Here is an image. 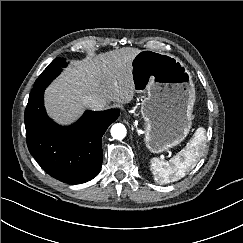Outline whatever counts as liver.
I'll list each match as a JSON object with an SVG mask.
<instances>
[{"instance_id": "liver-1", "label": "liver", "mask_w": 243, "mask_h": 243, "mask_svg": "<svg viewBox=\"0 0 243 243\" xmlns=\"http://www.w3.org/2000/svg\"><path fill=\"white\" fill-rule=\"evenodd\" d=\"M141 50L123 47L74 61L45 92V107L60 124L74 121L85 108L87 96L98 94L108 103H129L135 93L132 60Z\"/></svg>"}]
</instances>
